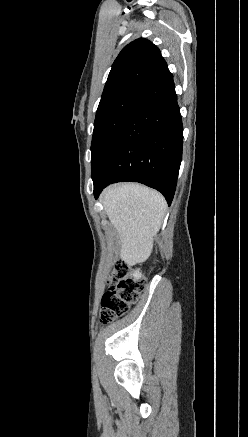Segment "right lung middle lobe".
Wrapping results in <instances>:
<instances>
[{
    "instance_id": "obj_1",
    "label": "right lung middle lobe",
    "mask_w": 248,
    "mask_h": 437,
    "mask_svg": "<svg viewBox=\"0 0 248 437\" xmlns=\"http://www.w3.org/2000/svg\"><path fill=\"white\" fill-rule=\"evenodd\" d=\"M140 92L131 91L99 105L94 122L91 144V166L97 161L101 151L108 143L113 133L121 125L125 115Z\"/></svg>"
}]
</instances>
